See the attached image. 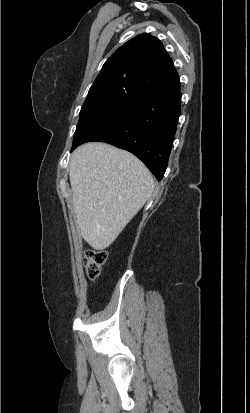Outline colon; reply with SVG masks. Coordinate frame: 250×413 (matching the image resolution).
<instances>
[{
    "mask_svg": "<svg viewBox=\"0 0 250 413\" xmlns=\"http://www.w3.org/2000/svg\"><path fill=\"white\" fill-rule=\"evenodd\" d=\"M107 254L103 250L89 249L84 254L86 274L89 278L95 279L100 275L101 268L106 262Z\"/></svg>",
    "mask_w": 250,
    "mask_h": 413,
    "instance_id": "obj_1",
    "label": "colon"
}]
</instances>
